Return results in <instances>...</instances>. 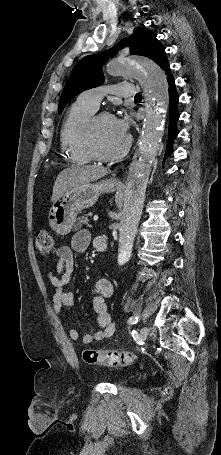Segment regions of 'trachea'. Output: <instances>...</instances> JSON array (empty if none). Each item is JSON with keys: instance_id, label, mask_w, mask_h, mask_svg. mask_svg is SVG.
<instances>
[{"instance_id": "trachea-1", "label": "trachea", "mask_w": 221, "mask_h": 455, "mask_svg": "<svg viewBox=\"0 0 221 455\" xmlns=\"http://www.w3.org/2000/svg\"><path fill=\"white\" fill-rule=\"evenodd\" d=\"M141 97H142L141 93H137V94L135 95V98H141Z\"/></svg>"}]
</instances>
